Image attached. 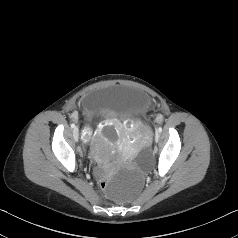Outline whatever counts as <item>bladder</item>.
I'll return each instance as SVG.
<instances>
[{"instance_id": "31cf9c89", "label": "bladder", "mask_w": 238, "mask_h": 238, "mask_svg": "<svg viewBox=\"0 0 238 238\" xmlns=\"http://www.w3.org/2000/svg\"><path fill=\"white\" fill-rule=\"evenodd\" d=\"M86 112L93 118L98 115H112L119 118H140L149 107V98L138 91L123 86H113L96 93L90 92L84 98Z\"/></svg>"}]
</instances>
